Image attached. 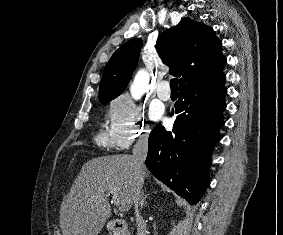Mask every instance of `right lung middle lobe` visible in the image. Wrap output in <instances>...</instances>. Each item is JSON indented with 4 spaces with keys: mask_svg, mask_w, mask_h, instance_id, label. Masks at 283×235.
Returning a JSON list of instances; mask_svg holds the SVG:
<instances>
[{
    "mask_svg": "<svg viewBox=\"0 0 283 235\" xmlns=\"http://www.w3.org/2000/svg\"><path fill=\"white\" fill-rule=\"evenodd\" d=\"M107 102H109V101H104V102H102V103L105 104V103H107Z\"/></svg>",
    "mask_w": 283,
    "mask_h": 235,
    "instance_id": "dd1d6c3e",
    "label": "right lung middle lobe"
}]
</instances>
